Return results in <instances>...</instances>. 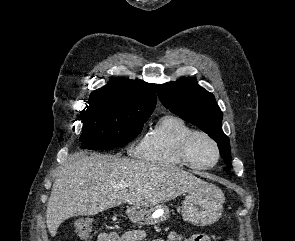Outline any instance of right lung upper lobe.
<instances>
[{
	"mask_svg": "<svg viewBox=\"0 0 295 241\" xmlns=\"http://www.w3.org/2000/svg\"><path fill=\"white\" fill-rule=\"evenodd\" d=\"M91 95H106L149 113L153 112L156 105L155 86L142 80L113 78Z\"/></svg>",
	"mask_w": 295,
	"mask_h": 241,
	"instance_id": "cb5924a9",
	"label": "right lung upper lobe"
}]
</instances>
